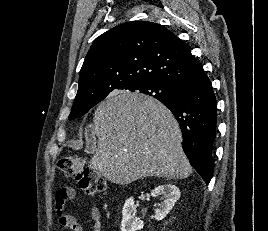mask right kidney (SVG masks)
Instances as JSON below:
<instances>
[{
    "instance_id": "right-kidney-1",
    "label": "right kidney",
    "mask_w": 268,
    "mask_h": 231,
    "mask_svg": "<svg viewBox=\"0 0 268 231\" xmlns=\"http://www.w3.org/2000/svg\"><path fill=\"white\" fill-rule=\"evenodd\" d=\"M153 197L162 195L163 202L158 204V208L155 210V220L159 221L166 217V215L173 208L175 202L180 197V190L173 184H164L157 186L152 192ZM135 205L133 197H130L125 201L122 209V221L121 231H137L141 230L144 226L143 221L135 217Z\"/></svg>"
}]
</instances>
